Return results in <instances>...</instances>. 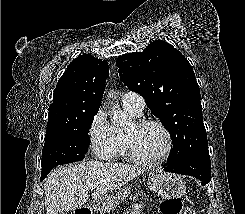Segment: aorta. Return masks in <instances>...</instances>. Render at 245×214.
Listing matches in <instances>:
<instances>
[{
  "label": "aorta",
  "mask_w": 245,
  "mask_h": 214,
  "mask_svg": "<svg viewBox=\"0 0 245 214\" xmlns=\"http://www.w3.org/2000/svg\"><path fill=\"white\" fill-rule=\"evenodd\" d=\"M111 94V93H110ZM111 122L114 125H124L127 121V117L124 112L118 107V105H113L109 113Z\"/></svg>",
  "instance_id": "1"
}]
</instances>
